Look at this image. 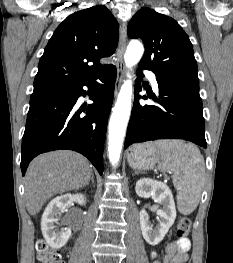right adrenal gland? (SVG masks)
I'll list each match as a JSON object with an SVG mask.
<instances>
[{
  "label": "right adrenal gland",
  "instance_id": "right-adrenal-gland-1",
  "mask_svg": "<svg viewBox=\"0 0 233 263\" xmlns=\"http://www.w3.org/2000/svg\"><path fill=\"white\" fill-rule=\"evenodd\" d=\"M91 181H92V184L94 185V175L93 174L91 175Z\"/></svg>",
  "mask_w": 233,
  "mask_h": 263
}]
</instances>
